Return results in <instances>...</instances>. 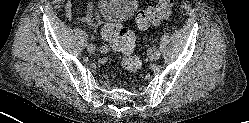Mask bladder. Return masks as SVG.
<instances>
[{"label": "bladder", "instance_id": "obj_1", "mask_svg": "<svg viewBox=\"0 0 249 123\" xmlns=\"http://www.w3.org/2000/svg\"><path fill=\"white\" fill-rule=\"evenodd\" d=\"M98 7L106 22L120 23L134 15L138 0H99Z\"/></svg>", "mask_w": 249, "mask_h": 123}]
</instances>
